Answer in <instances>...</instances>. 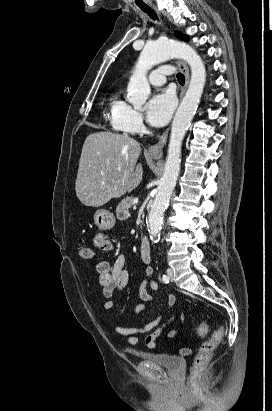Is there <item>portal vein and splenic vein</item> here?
Masks as SVG:
<instances>
[{
	"mask_svg": "<svg viewBox=\"0 0 272 411\" xmlns=\"http://www.w3.org/2000/svg\"><path fill=\"white\" fill-rule=\"evenodd\" d=\"M104 183V182H103ZM138 203V199L137 198H135V199H133V204L135 205V204H137Z\"/></svg>",
	"mask_w": 272,
	"mask_h": 411,
	"instance_id": "obj_1",
	"label": "portal vein and splenic vein"
}]
</instances>
